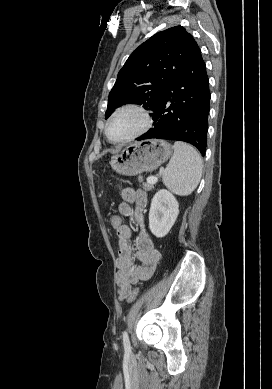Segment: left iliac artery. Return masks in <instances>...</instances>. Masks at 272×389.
Here are the masks:
<instances>
[{"mask_svg":"<svg viewBox=\"0 0 272 389\" xmlns=\"http://www.w3.org/2000/svg\"><path fill=\"white\" fill-rule=\"evenodd\" d=\"M123 345H124L125 352L130 353L131 345L126 331L123 332Z\"/></svg>","mask_w":272,"mask_h":389,"instance_id":"obj_1","label":"left iliac artery"}]
</instances>
